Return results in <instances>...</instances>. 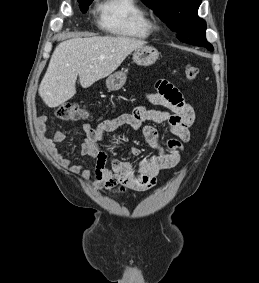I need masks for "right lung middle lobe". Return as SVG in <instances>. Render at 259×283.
Here are the masks:
<instances>
[{"mask_svg": "<svg viewBox=\"0 0 259 283\" xmlns=\"http://www.w3.org/2000/svg\"><path fill=\"white\" fill-rule=\"evenodd\" d=\"M93 0H78L81 11L85 13Z\"/></svg>", "mask_w": 259, "mask_h": 283, "instance_id": "obj_1", "label": "right lung middle lobe"}]
</instances>
